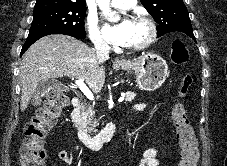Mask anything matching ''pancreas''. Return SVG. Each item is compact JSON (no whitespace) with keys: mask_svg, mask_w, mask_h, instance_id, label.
Wrapping results in <instances>:
<instances>
[{"mask_svg":"<svg viewBox=\"0 0 227 166\" xmlns=\"http://www.w3.org/2000/svg\"><path fill=\"white\" fill-rule=\"evenodd\" d=\"M135 96L136 94L134 92L128 91L125 95V100L132 101ZM78 123L87 128L90 133L96 131L97 121L95 120L94 106L82 105Z\"/></svg>","mask_w":227,"mask_h":166,"instance_id":"obj_1","label":"pancreas"}]
</instances>
